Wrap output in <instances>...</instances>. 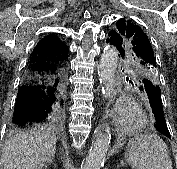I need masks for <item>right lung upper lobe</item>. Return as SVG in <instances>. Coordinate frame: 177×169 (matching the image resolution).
Returning <instances> with one entry per match:
<instances>
[{
    "instance_id": "obj_1",
    "label": "right lung upper lobe",
    "mask_w": 177,
    "mask_h": 169,
    "mask_svg": "<svg viewBox=\"0 0 177 169\" xmlns=\"http://www.w3.org/2000/svg\"><path fill=\"white\" fill-rule=\"evenodd\" d=\"M33 52L43 54L51 59L66 60L68 46L56 34H49L38 42Z\"/></svg>"
}]
</instances>
